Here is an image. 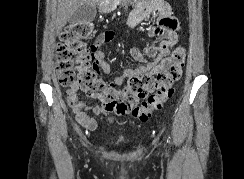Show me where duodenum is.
<instances>
[{"mask_svg":"<svg viewBox=\"0 0 244 179\" xmlns=\"http://www.w3.org/2000/svg\"><path fill=\"white\" fill-rule=\"evenodd\" d=\"M104 5H105V2L103 0L99 1L98 5H96V10H103Z\"/></svg>","mask_w":244,"mask_h":179,"instance_id":"duodenum-1","label":"duodenum"}]
</instances>
